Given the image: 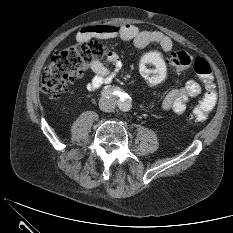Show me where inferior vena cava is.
I'll use <instances>...</instances> for the list:
<instances>
[{
    "mask_svg": "<svg viewBox=\"0 0 233 233\" xmlns=\"http://www.w3.org/2000/svg\"><path fill=\"white\" fill-rule=\"evenodd\" d=\"M116 107V101L113 98L102 99L100 101V108L105 112H113Z\"/></svg>",
    "mask_w": 233,
    "mask_h": 233,
    "instance_id": "602c4592",
    "label": "inferior vena cava"
}]
</instances>
